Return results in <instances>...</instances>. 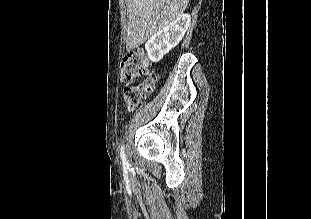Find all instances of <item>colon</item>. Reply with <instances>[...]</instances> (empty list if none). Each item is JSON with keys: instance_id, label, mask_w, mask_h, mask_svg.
<instances>
[{"instance_id": "5ec220e1", "label": "colon", "mask_w": 311, "mask_h": 219, "mask_svg": "<svg viewBox=\"0 0 311 219\" xmlns=\"http://www.w3.org/2000/svg\"><path fill=\"white\" fill-rule=\"evenodd\" d=\"M120 78L125 85L123 98L128 108L137 107L143 98L152 90L157 74L149 69V63L142 49L126 55L120 66ZM144 76V80L137 84H131L133 80Z\"/></svg>"}]
</instances>
